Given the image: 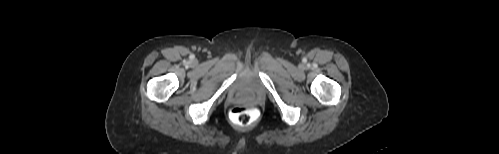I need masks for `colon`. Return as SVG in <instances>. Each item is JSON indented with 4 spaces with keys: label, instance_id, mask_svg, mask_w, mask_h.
<instances>
[{
    "label": "colon",
    "instance_id": "5ec220e1",
    "mask_svg": "<svg viewBox=\"0 0 499 154\" xmlns=\"http://www.w3.org/2000/svg\"><path fill=\"white\" fill-rule=\"evenodd\" d=\"M257 117L255 107L247 104H236L230 110V119L237 126H247Z\"/></svg>",
    "mask_w": 499,
    "mask_h": 154
}]
</instances>
